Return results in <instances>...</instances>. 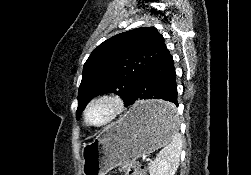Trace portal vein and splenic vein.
Returning <instances> with one entry per match:
<instances>
[{
	"instance_id": "portal-vein-and-splenic-vein-1",
	"label": "portal vein and splenic vein",
	"mask_w": 251,
	"mask_h": 175,
	"mask_svg": "<svg viewBox=\"0 0 251 175\" xmlns=\"http://www.w3.org/2000/svg\"><path fill=\"white\" fill-rule=\"evenodd\" d=\"M140 159H141L143 162H149V161H150V158L147 157L146 155H141V156H140Z\"/></svg>"
}]
</instances>
